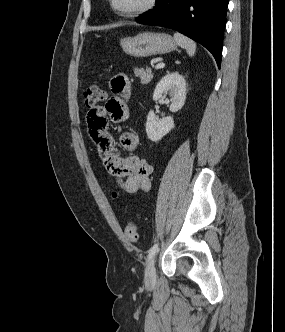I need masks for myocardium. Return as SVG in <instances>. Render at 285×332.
I'll return each mask as SVG.
<instances>
[{"mask_svg":"<svg viewBox=\"0 0 285 332\" xmlns=\"http://www.w3.org/2000/svg\"><path fill=\"white\" fill-rule=\"evenodd\" d=\"M111 10L118 16L123 18H134L144 14H147L155 9L157 6L158 0H147L146 3L140 7L130 9V10H121L115 5V0H108Z\"/></svg>","mask_w":285,"mask_h":332,"instance_id":"1","label":"myocardium"}]
</instances>
